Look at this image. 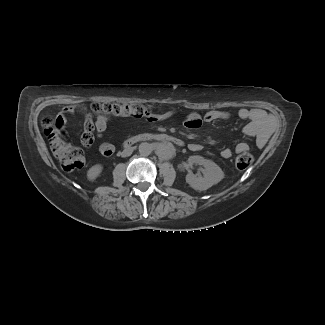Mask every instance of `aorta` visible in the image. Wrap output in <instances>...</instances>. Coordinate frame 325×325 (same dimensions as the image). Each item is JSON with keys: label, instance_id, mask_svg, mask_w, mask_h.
I'll return each mask as SVG.
<instances>
[{"label": "aorta", "instance_id": "762f6f07", "mask_svg": "<svg viewBox=\"0 0 325 325\" xmlns=\"http://www.w3.org/2000/svg\"><path fill=\"white\" fill-rule=\"evenodd\" d=\"M153 147L150 143L143 142L139 145V153L143 156H148L152 153Z\"/></svg>", "mask_w": 325, "mask_h": 325}]
</instances>
